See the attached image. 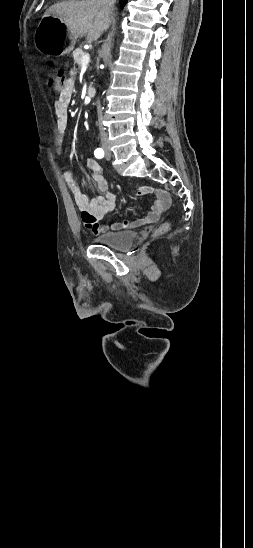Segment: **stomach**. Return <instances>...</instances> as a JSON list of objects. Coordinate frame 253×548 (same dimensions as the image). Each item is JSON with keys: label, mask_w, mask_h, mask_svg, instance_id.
Instances as JSON below:
<instances>
[{"label": "stomach", "mask_w": 253, "mask_h": 548, "mask_svg": "<svg viewBox=\"0 0 253 548\" xmlns=\"http://www.w3.org/2000/svg\"><path fill=\"white\" fill-rule=\"evenodd\" d=\"M34 43L39 52L46 55L63 56L75 46L64 23L57 17H43L35 32Z\"/></svg>", "instance_id": "stomach-1"}]
</instances>
